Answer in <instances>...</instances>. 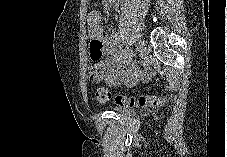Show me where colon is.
I'll return each instance as SVG.
<instances>
[{
  "instance_id": "obj_1",
  "label": "colon",
  "mask_w": 227,
  "mask_h": 157,
  "mask_svg": "<svg viewBox=\"0 0 227 157\" xmlns=\"http://www.w3.org/2000/svg\"><path fill=\"white\" fill-rule=\"evenodd\" d=\"M91 77L100 76L103 73V68L100 62H95L89 69ZM95 98L99 103H105L110 100L111 92L106 87H99L95 92ZM166 98L155 95H140L138 97L117 95L115 103L120 106L127 107H158L165 103Z\"/></svg>"
}]
</instances>
